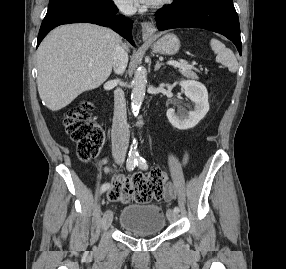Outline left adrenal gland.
Masks as SVG:
<instances>
[{
  "mask_svg": "<svg viewBox=\"0 0 286 269\" xmlns=\"http://www.w3.org/2000/svg\"><path fill=\"white\" fill-rule=\"evenodd\" d=\"M162 65H163V64L160 63V61H156V65H155L154 70H155V71L159 70Z\"/></svg>",
  "mask_w": 286,
  "mask_h": 269,
  "instance_id": "left-adrenal-gland-1",
  "label": "left adrenal gland"
}]
</instances>
